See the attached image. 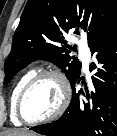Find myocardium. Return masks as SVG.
Listing matches in <instances>:
<instances>
[{
	"label": "myocardium",
	"instance_id": "1",
	"mask_svg": "<svg viewBox=\"0 0 117 136\" xmlns=\"http://www.w3.org/2000/svg\"><path fill=\"white\" fill-rule=\"evenodd\" d=\"M47 77H52L57 80L60 87V91H61L60 103L57 109L51 115L41 119L28 120L23 116V112H22V105H23L24 98L28 94L30 89L37 82ZM70 97H71L70 84L66 75L61 70L54 69V68L42 70L34 74V76L22 88L17 100L15 113L17 118L25 124L36 125V124L48 123V122L56 120L58 117H60L63 114V112L65 111V109L67 108L69 104Z\"/></svg>",
	"mask_w": 117,
	"mask_h": 136
}]
</instances>
